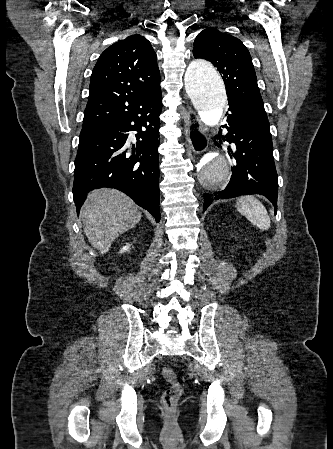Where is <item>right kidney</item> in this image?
I'll return each mask as SVG.
<instances>
[{"instance_id":"right-kidney-1","label":"right kidney","mask_w":333,"mask_h":449,"mask_svg":"<svg viewBox=\"0 0 333 449\" xmlns=\"http://www.w3.org/2000/svg\"><path fill=\"white\" fill-rule=\"evenodd\" d=\"M129 249V246L127 245V246H124L121 250H120V253H123V252H125V251H127Z\"/></svg>"}]
</instances>
